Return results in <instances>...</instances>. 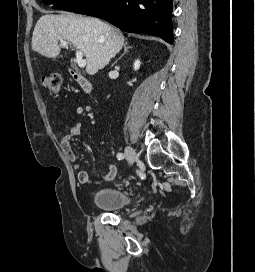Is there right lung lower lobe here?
<instances>
[{
	"label": "right lung lower lobe",
	"mask_w": 255,
	"mask_h": 272,
	"mask_svg": "<svg viewBox=\"0 0 255 272\" xmlns=\"http://www.w3.org/2000/svg\"><path fill=\"white\" fill-rule=\"evenodd\" d=\"M173 0H98L85 14L102 18L123 31L147 33L173 43Z\"/></svg>",
	"instance_id": "obj_1"
}]
</instances>
